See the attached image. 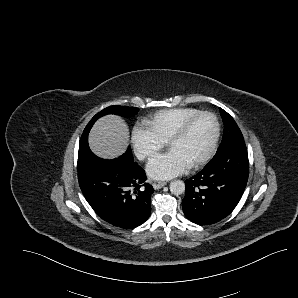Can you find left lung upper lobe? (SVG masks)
<instances>
[{"label": "left lung upper lobe", "instance_id": "1", "mask_svg": "<svg viewBox=\"0 0 298 298\" xmlns=\"http://www.w3.org/2000/svg\"><path fill=\"white\" fill-rule=\"evenodd\" d=\"M219 109L224 123V134L216 155L223 153L230 147L245 143L243 135L234 119L226 111L221 108Z\"/></svg>", "mask_w": 298, "mask_h": 298}]
</instances>
